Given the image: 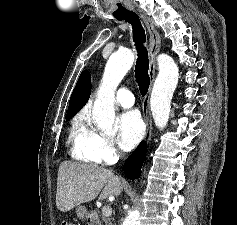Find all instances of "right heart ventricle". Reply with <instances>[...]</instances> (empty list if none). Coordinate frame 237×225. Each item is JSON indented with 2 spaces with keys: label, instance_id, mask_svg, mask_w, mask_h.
<instances>
[{
  "label": "right heart ventricle",
  "instance_id": "obj_1",
  "mask_svg": "<svg viewBox=\"0 0 237 225\" xmlns=\"http://www.w3.org/2000/svg\"><path fill=\"white\" fill-rule=\"evenodd\" d=\"M90 131L91 128L88 125L87 117L84 114L77 116L70 133L72 156L79 161L98 163L92 157L88 147Z\"/></svg>",
  "mask_w": 237,
  "mask_h": 225
}]
</instances>
